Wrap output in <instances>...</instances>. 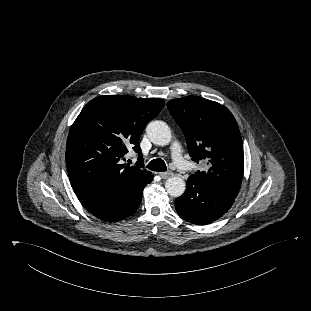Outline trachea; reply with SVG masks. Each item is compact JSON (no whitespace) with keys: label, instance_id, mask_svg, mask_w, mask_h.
I'll use <instances>...</instances> for the list:
<instances>
[{"label":"trachea","instance_id":"trachea-1","mask_svg":"<svg viewBox=\"0 0 311 311\" xmlns=\"http://www.w3.org/2000/svg\"><path fill=\"white\" fill-rule=\"evenodd\" d=\"M147 168L157 172H165L167 170L166 164L161 158L150 161Z\"/></svg>","mask_w":311,"mask_h":311}]
</instances>
